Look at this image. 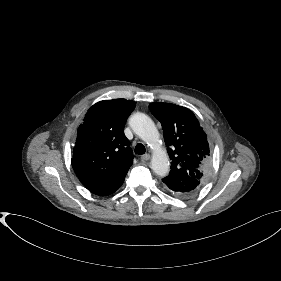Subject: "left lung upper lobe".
<instances>
[{"label":"left lung upper lobe","instance_id":"1","mask_svg":"<svg viewBox=\"0 0 281 281\" xmlns=\"http://www.w3.org/2000/svg\"><path fill=\"white\" fill-rule=\"evenodd\" d=\"M151 113L161 122L171 171L162 179L165 186L178 195L196 194L211 170L207 136L194 113L171 103H152Z\"/></svg>","mask_w":281,"mask_h":281}]
</instances>
